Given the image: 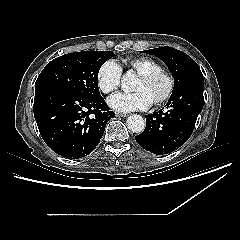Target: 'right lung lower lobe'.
<instances>
[{"label":"right lung lower lobe","mask_w":240,"mask_h":240,"mask_svg":"<svg viewBox=\"0 0 240 240\" xmlns=\"http://www.w3.org/2000/svg\"><path fill=\"white\" fill-rule=\"evenodd\" d=\"M114 116L101 95L89 97L62 88L35 89L34 117L39 132L63 157L79 159L90 154Z\"/></svg>","instance_id":"right-lung-lower-lobe-1"}]
</instances>
